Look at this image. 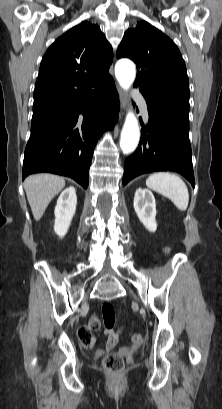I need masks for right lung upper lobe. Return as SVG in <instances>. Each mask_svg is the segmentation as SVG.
<instances>
[{
	"instance_id": "right-lung-upper-lobe-1",
	"label": "right lung upper lobe",
	"mask_w": 222,
	"mask_h": 409,
	"mask_svg": "<svg viewBox=\"0 0 222 409\" xmlns=\"http://www.w3.org/2000/svg\"><path fill=\"white\" fill-rule=\"evenodd\" d=\"M111 45L96 24L84 21L46 51L35 85L33 109L85 94L109 75Z\"/></svg>"
}]
</instances>
